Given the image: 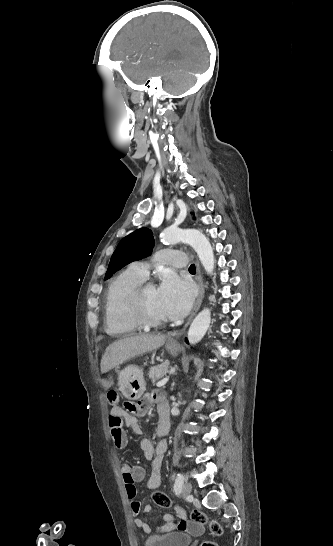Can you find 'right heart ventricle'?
Listing matches in <instances>:
<instances>
[{"label":"right heart ventricle","instance_id":"obj_1","mask_svg":"<svg viewBox=\"0 0 333 546\" xmlns=\"http://www.w3.org/2000/svg\"><path fill=\"white\" fill-rule=\"evenodd\" d=\"M145 280L134 267H129L114 277L107 289L103 317L106 331L113 336L134 333L140 325L130 315L126 299L129 292Z\"/></svg>","mask_w":333,"mask_h":546}]
</instances>
